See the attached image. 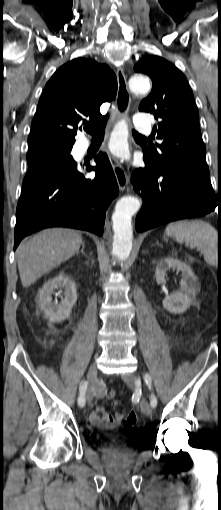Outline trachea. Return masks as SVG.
I'll return each instance as SVG.
<instances>
[{"mask_svg":"<svg viewBox=\"0 0 221 510\" xmlns=\"http://www.w3.org/2000/svg\"><path fill=\"white\" fill-rule=\"evenodd\" d=\"M108 118H109V115H106L105 117H103L101 119V121L97 125H95L94 127L84 128V130L92 136L93 140H102L104 138L105 127H106ZM132 133L136 137H143L142 135H140L139 133H137L134 130L132 131Z\"/></svg>","mask_w":221,"mask_h":510,"instance_id":"obj_1","label":"trachea"}]
</instances>
